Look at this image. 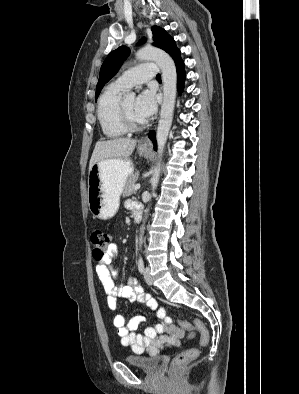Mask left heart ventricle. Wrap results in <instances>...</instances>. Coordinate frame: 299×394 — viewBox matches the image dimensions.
Instances as JSON below:
<instances>
[{
	"instance_id": "left-heart-ventricle-1",
	"label": "left heart ventricle",
	"mask_w": 299,
	"mask_h": 394,
	"mask_svg": "<svg viewBox=\"0 0 299 394\" xmlns=\"http://www.w3.org/2000/svg\"><path fill=\"white\" fill-rule=\"evenodd\" d=\"M135 99L133 97L124 99V106L130 119L135 123H140L142 120L137 116L135 109Z\"/></svg>"
}]
</instances>
